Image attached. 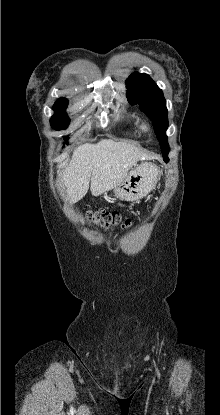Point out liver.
I'll list each match as a JSON object with an SVG mask.
<instances>
[{
    "mask_svg": "<svg viewBox=\"0 0 220 415\" xmlns=\"http://www.w3.org/2000/svg\"><path fill=\"white\" fill-rule=\"evenodd\" d=\"M149 159L135 145L103 139L75 149L62 176L63 187L71 203L81 200L89 190L94 196L122 183L139 160Z\"/></svg>",
    "mask_w": 220,
    "mask_h": 415,
    "instance_id": "1",
    "label": "liver"
}]
</instances>
